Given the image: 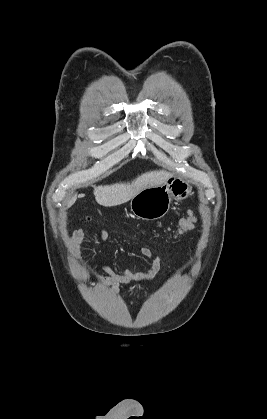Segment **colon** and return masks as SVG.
<instances>
[{
    "mask_svg": "<svg viewBox=\"0 0 267 419\" xmlns=\"http://www.w3.org/2000/svg\"><path fill=\"white\" fill-rule=\"evenodd\" d=\"M195 221H196V218L194 214L192 212H189L186 217L182 218L179 221L177 234L181 235L189 231L193 227Z\"/></svg>",
    "mask_w": 267,
    "mask_h": 419,
    "instance_id": "5ec220e1",
    "label": "colon"
}]
</instances>
